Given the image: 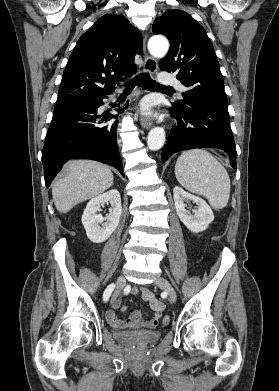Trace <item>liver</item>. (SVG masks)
Wrapping results in <instances>:
<instances>
[{"mask_svg":"<svg viewBox=\"0 0 279 391\" xmlns=\"http://www.w3.org/2000/svg\"><path fill=\"white\" fill-rule=\"evenodd\" d=\"M111 170L93 160L68 161L52 186L56 209L67 213L75 205L100 195L113 184Z\"/></svg>","mask_w":279,"mask_h":391,"instance_id":"1","label":"liver"}]
</instances>
